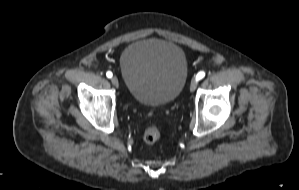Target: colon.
Here are the masks:
<instances>
[{
  "label": "colon",
  "mask_w": 299,
  "mask_h": 190,
  "mask_svg": "<svg viewBox=\"0 0 299 190\" xmlns=\"http://www.w3.org/2000/svg\"><path fill=\"white\" fill-rule=\"evenodd\" d=\"M160 137V130L159 127L154 124L150 123L148 124L143 132V139L148 144L155 143Z\"/></svg>",
  "instance_id": "5ec220e1"
}]
</instances>
